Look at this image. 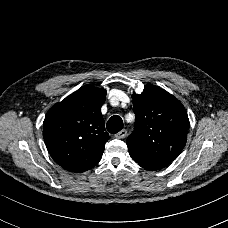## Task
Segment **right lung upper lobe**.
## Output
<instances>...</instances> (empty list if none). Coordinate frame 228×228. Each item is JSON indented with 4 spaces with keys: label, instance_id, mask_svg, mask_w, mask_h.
<instances>
[{
    "label": "right lung upper lobe",
    "instance_id": "right-lung-upper-lobe-1",
    "mask_svg": "<svg viewBox=\"0 0 228 228\" xmlns=\"http://www.w3.org/2000/svg\"><path fill=\"white\" fill-rule=\"evenodd\" d=\"M105 96L106 90L85 85L47 112L43 138L62 168L81 173L101 160L109 140L101 114Z\"/></svg>",
    "mask_w": 228,
    "mask_h": 228
}]
</instances>
